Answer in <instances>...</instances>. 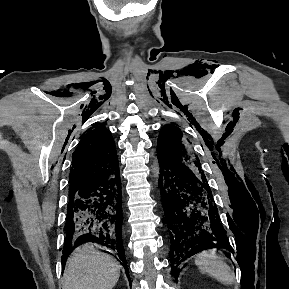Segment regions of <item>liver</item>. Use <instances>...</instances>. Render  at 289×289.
I'll return each mask as SVG.
<instances>
[{"instance_id": "1", "label": "liver", "mask_w": 289, "mask_h": 289, "mask_svg": "<svg viewBox=\"0 0 289 289\" xmlns=\"http://www.w3.org/2000/svg\"><path fill=\"white\" fill-rule=\"evenodd\" d=\"M120 275V265L110 255L92 245L77 248L67 260L63 289H112Z\"/></svg>"}]
</instances>
